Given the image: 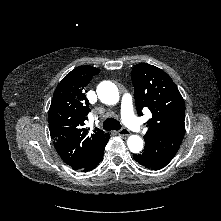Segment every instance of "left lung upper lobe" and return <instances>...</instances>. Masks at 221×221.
I'll use <instances>...</instances> for the list:
<instances>
[{
    "mask_svg": "<svg viewBox=\"0 0 221 221\" xmlns=\"http://www.w3.org/2000/svg\"><path fill=\"white\" fill-rule=\"evenodd\" d=\"M136 109L148 108L144 153L168 164L177 153L185 134V103L173 80L160 68L141 63L132 69Z\"/></svg>",
    "mask_w": 221,
    "mask_h": 221,
    "instance_id": "obj_1",
    "label": "left lung upper lobe"
}]
</instances>
